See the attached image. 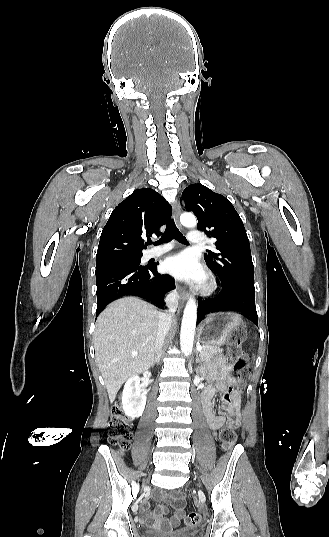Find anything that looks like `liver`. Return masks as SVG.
I'll return each mask as SVG.
<instances>
[{"mask_svg": "<svg viewBox=\"0 0 329 537\" xmlns=\"http://www.w3.org/2000/svg\"><path fill=\"white\" fill-rule=\"evenodd\" d=\"M160 315L149 303L125 297L108 305L98 316L94 348L110 402L128 378L151 366Z\"/></svg>", "mask_w": 329, "mask_h": 537, "instance_id": "obj_1", "label": "liver"}]
</instances>
